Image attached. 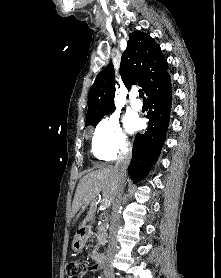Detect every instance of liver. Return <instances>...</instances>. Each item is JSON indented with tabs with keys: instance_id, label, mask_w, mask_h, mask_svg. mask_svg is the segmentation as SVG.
<instances>
[{
	"instance_id": "liver-1",
	"label": "liver",
	"mask_w": 221,
	"mask_h": 278,
	"mask_svg": "<svg viewBox=\"0 0 221 278\" xmlns=\"http://www.w3.org/2000/svg\"><path fill=\"white\" fill-rule=\"evenodd\" d=\"M118 183V173L114 166L101 167L82 177L72 203V216L81 208H89L87 215L79 225V229L86 227V224L94 219L97 197L100 192H102L103 199L110 200L113 203L114 192Z\"/></svg>"
}]
</instances>
